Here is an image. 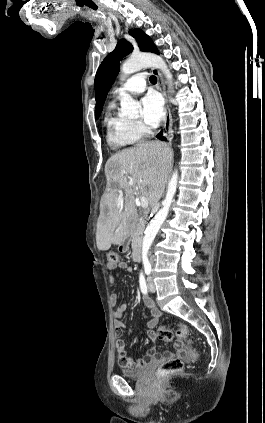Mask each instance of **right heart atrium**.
<instances>
[{
	"label": "right heart atrium",
	"instance_id": "1",
	"mask_svg": "<svg viewBox=\"0 0 265 423\" xmlns=\"http://www.w3.org/2000/svg\"><path fill=\"white\" fill-rule=\"evenodd\" d=\"M134 125H135L137 132L140 134V136L147 133V128L143 124H141L140 122H134Z\"/></svg>",
	"mask_w": 265,
	"mask_h": 423
}]
</instances>
